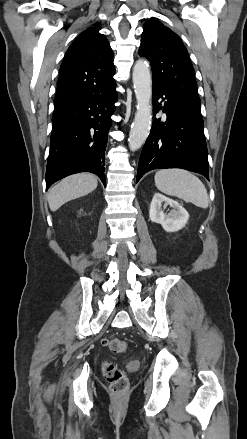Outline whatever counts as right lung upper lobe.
<instances>
[{"mask_svg": "<svg viewBox=\"0 0 247 439\" xmlns=\"http://www.w3.org/2000/svg\"><path fill=\"white\" fill-rule=\"evenodd\" d=\"M99 29L95 26L83 31L67 50L60 67L54 110L103 93L115 84L114 54Z\"/></svg>", "mask_w": 247, "mask_h": 439, "instance_id": "cb5924a9", "label": "right lung upper lobe"}]
</instances>
